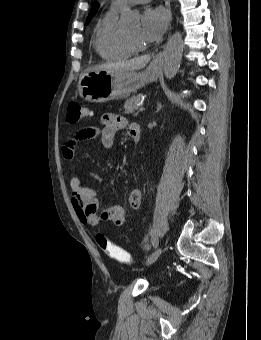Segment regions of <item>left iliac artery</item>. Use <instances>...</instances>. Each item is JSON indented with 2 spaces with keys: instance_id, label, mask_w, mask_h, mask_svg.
<instances>
[{
  "instance_id": "left-iliac-artery-1",
  "label": "left iliac artery",
  "mask_w": 261,
  "mask_h": 340,
  "mask_svg": "<svg viewBox=\"0 0 261 340\" xmlns=\"http://www.w3.org/2000/svg\"><path fill=\"white\" fill-rule=\"evenodd\" d=\"M158 245H159V238H158L157 235H153L151 237V246H152L153 249H156L158 247Z\"/></svg>"
}]
</instances>
